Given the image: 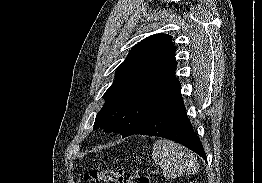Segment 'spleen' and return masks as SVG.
<instances>
[{
    "label": "spleen",
    "instance_id": "3e777b00",
    "mask_svg": "<svg viewBox=\"0 0 262 183\" xmlns=\"http://www.w3.org/2000/svg\"><path fill=\"white\" fill-rule=\"evenodd\" d=\"M152 159L163 169V176L174 179L196 172L197 158L187 148L170 140L159 139L152 148Z\"/></svg>",
    "mask_w": 262,
    "mask_h": 183
}]
</instances>
